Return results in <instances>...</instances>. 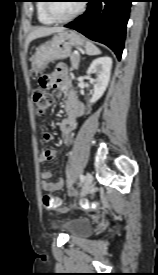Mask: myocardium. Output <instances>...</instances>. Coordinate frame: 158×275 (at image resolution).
<instances>
[{
  "label": "myocardium",
  "instance_id": "obj_1",
  "mask_svg": "<svg viewBox=\"0 0 158 275\" xmlns=\"http://www.w3.org/2000/svg\"><path fill=\"white\" fill-rule=\"evenodd\" d=\"M48 3L45 4V11L47 13V15L54 21V22H59V23H63V22H68L74 18H76L77 16H79L85 9V3H83L84 1H80L82 3H80L79 7L77 8V10L75 12H73L71 15L67 16V17H59L57 15H55V13L53 12L52 9V4L50 3L52 1L48 0Z\"/></svg>",
  "mask_w": 158,
  "mask_h": 275
}]
</instances>
